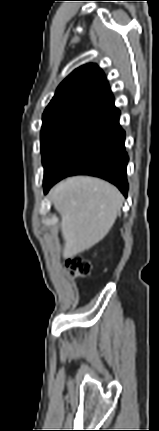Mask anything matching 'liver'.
<instances>
[{
  "mask_svg": "<svg viewBox=\"0 0 159 431\" xmlns=\"http://www.w3.org/2000/svg\"><path fill=\"white\" fill-rule=\"evenodd\" d=\"M50 199L61 215L63 258H71L100 242L110 231L123 197L110 183L77 176L55 185Z\"/></svg>",
  "mask_w": 159,
  "mask_h": 431,
  "instance_id": "1",
  "label": "liver"
}]
</instances>
